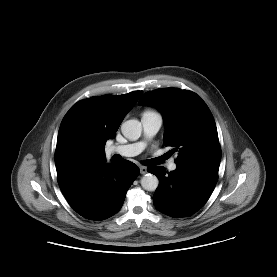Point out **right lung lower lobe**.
I'll use <instances>...</instances> for the list:
<instances>
[{
    "label": "right lung lower lobe",
    "mask_w": 277,
    "mask_h": 277,
    "mask_svg": "<svg viewBox=\"0 0 277 277\" xmlns=\"http://www.w3.org/2000/svg\"><path fill=\"white\" fill-rule=\"evenodd\" d=\"M138 174L139 168L130 161L118 165L104 161L70 171L58 177V184L74 211L100 221L120 210Z\"/></svg>",
    "instance_id": "right-lung-lower-lobe-1"
}]
</instances>
